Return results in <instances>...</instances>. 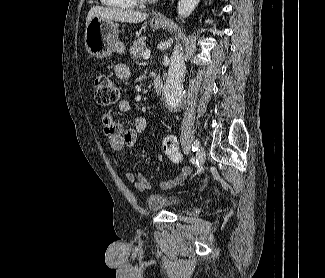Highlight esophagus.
Instances as JSON below:
<instances>
[{"mask_svg": "<svg viewBox=\"0 0 325 278\" xmlns=\"http://www.w3.org/2000/svg\"><path fill=\"white\" fill-rule=\"evenodd\" d=\"M174 0H171V3L173 2ZM154 19L155 20H159V21H162V20H165V16L162 14V13H156L154 15Z\"/></svg>", "mask_w": 325, "mask_h": 278, "instance_id": "obj_1", "label": "esophagus"}]
</instances>
